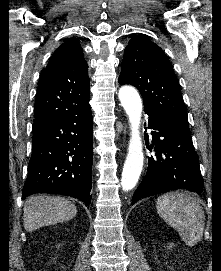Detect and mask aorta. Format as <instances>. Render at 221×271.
<instances>
[{
    "mask_svg": "<svg viewBox=\"0 0 221 271\" xmlns=\"http://www.w3.org/2000/svg\"><path fill=\"white\" fill-rule=\"evenodd\" d=\"M119 99L130 123L131 137L128 154L124 163L121 186L124 191L133 189L142 172L144 154L140 136L142 101L138 91L131 86H123L119 90Z\"/></svg>",
    "mask_w": 221,
    "mask_h": 271,
    "instance_id": "obj_1",
    "label": "aorta"
}]
</instances>
